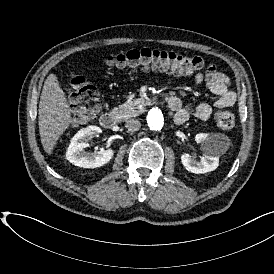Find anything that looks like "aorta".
I'll use <instances>...</instances> for the list:
<instances>
[{"mask_svg":"<svg viewBox=\"0 0 274 274\" xmlns=\"http://www.w3.org/2000/svg\"><path fill=\"white\" fill-rule=\"evenodd\" d=\"M164 115L159 108H152L147 114V124L150 130L160 131L164 125Z\"/></svg>","mask_w":274,"mask_h":274,"instance_id":"aorta-1","label":"aorta"}]
</instances>
